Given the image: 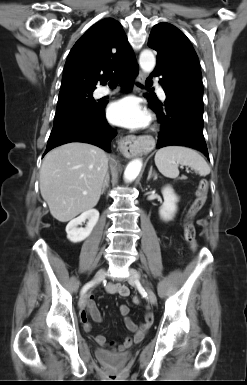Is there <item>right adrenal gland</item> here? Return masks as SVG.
I'll return each instance as SVG.
<instances>
[{"label":"right adrenal gland","instance_id":"obj_1","mask_svg":"<svg viewBox=\"0 0 247 385\" xmlns=\"http://www.w3.org/2000/svg\"><path fill=\"white\" fill-rule=\"evenodd\" d=\"M109 179V175H107L102 186L101 194H103L105 189L109 187Z\"/></svg>","mask_w":247,"mask_h":385}]
</instances>
